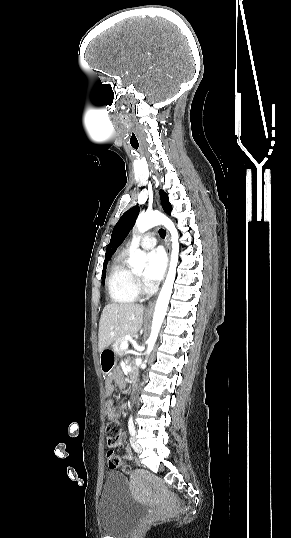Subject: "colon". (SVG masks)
Returning <instances> with one entry per match:
<instances>
[{"mask_svg":"<svg viewBox=\"0 0 291 538\" xmlns=\"http://www.w3.org/2000/svg\"><path fill=\"white\" fill-rule=\"evenodd\" d=\"M107 443L110 448H114L123 438V431L119 423L115 419H111L106 425ZM108 462L115 467H121L125 472L129 471V465L123 463L121 459L114 454L113 451L108 452Z\"/></svg>","mask_w":291,"mask_h":538,"instance_id":"colon-1","label":"colon"}]
</instances>
